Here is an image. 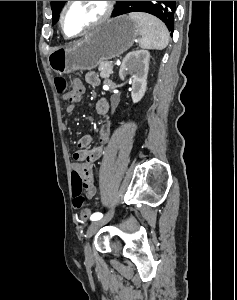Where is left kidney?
Wrapping results in <instances>:
<instances>
[{
    "instance_id": "5707ae66",
    "label": "left kidney",
    "mask_w": 237,
    "mask_h": 300,
    "mask_svg": "<svg viewBox=\"0 0 237 300\" xmlns=\"http://www.w3.org/2000/svg\"><path fill=\"white\" fill-rule=\"evenodd\" d=\"M150 53L140 49L131 51L122 61L119 71L120 79L131 75V97L133 103H139L147 89V75L149 71Z\"/></svg>"
}]
</instances>
